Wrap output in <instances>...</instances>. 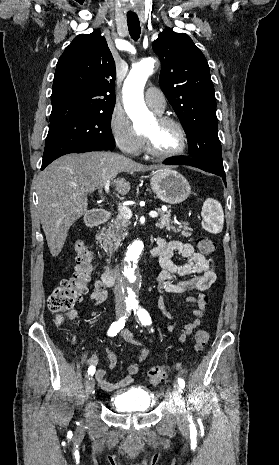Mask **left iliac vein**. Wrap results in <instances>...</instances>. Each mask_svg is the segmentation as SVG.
Segmentation results:
<instances>
[{
  "instance_id": "left-iliac-vein-1",
  "label": "left iliac vein",
  "mask_w": 279,
  "mask_h": 465,
  "mask_svg": "<svg viewBox=\"0 0 279 465\" xmlns=\"http://www.w3.org/2000/svg\"><path fill=\"white\" fill-rule=\"evenodd\" d=\"M173 398L177 405V421L178 423L184 425L187 423V416L184 411L183 398L181 396V389L178 385L174 386Z\"/></svg>"
}]
</instances>
